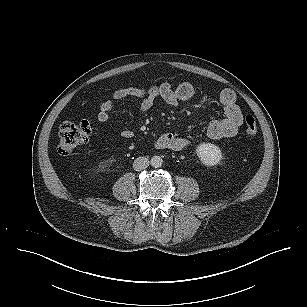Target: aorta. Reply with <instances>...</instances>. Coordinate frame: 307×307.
<instances>
[{"label":"aorta","instance_id":"aorta-1","mask_svg":"<svg viewBox=\"0 0 307 307\" xmlns=\"http://www.w3.org/2000/svg\"><path fill=\"white\" fill-rule=\"evenodd\" d=\"M150 164L154 168H159L163 164V159L160 156H153L150 160Z\"/></svg>","mask_w":307,"mask_h":307}]
</instances>
